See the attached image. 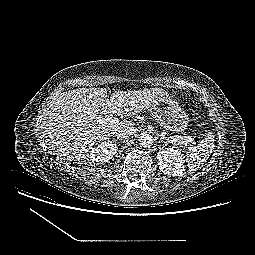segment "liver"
I'll list each match as a JSON object with an SVG mask.
<instances>
[{
	"instance_id": "1",
	"label": "liver",
	"mask_w": 255,
	"mask_h": 255,
	"mask_svg": "<svg viewBox=\"0 0 255 255\" xmlns=\"http://www.w3.org/2000/svg\"><path fill=\"white\" fill-rule=\"evenodd\" d=\"M166 94L159 88L118 90L110 96L105 88L63 92L52 102L42 121L45 142L67 160L86 159L94 144L108 139L119 129L133 127L131 121L99 124L98 117L104 114L133 116Z\"/></svg>"
}]
</instances>
